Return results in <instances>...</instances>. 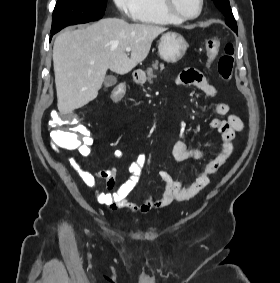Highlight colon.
I'll list each match as a JSON object with an SVG mask.
<instances>
[{
    "instance_id": "obj_1",
    "label": "colon",
    "mask_w": 280,
    "mask_h": 283,
    "mask_svg": "<svg viewBox=\"0 0 280 283\" xmlns=\"http://www.w3.org/2000/svg\"><path fill=\"white\" fill-rule=\"evenodd\" d=\"M220 47V40L217 37L209 38L205 43V53L209 61L215 59ZM235 46L228 42L224 46L223 53L218 59V73L220 77L229 81L232 77L234 67ZM125 87L118 86L112 90L113 101H118L125 94ZM69 119H80L79 110H54L51 114L49 125L50 136L53 146L56 149L75 150L80 145L81 136L78 132H88V127H65L62 126Z\"/></svg>"
}]
</instances>
